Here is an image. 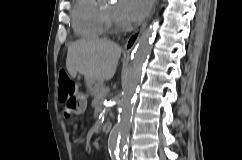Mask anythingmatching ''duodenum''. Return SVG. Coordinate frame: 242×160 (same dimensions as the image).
<instances>
[{"label": "duodenum", "mask_w": 242, "mask_h": 160, "mask_svg": "<svg viewBox=\"0 0 242 160\" xmlns=\"http://www.w3.org/2000/svg\"><path fill=\"white\" fill-rule=\"evenodd\" d=\"M111 128H112V123L110 121H107L102 126V132L104 134H107L110 132Z\"/></svg>", "instance_id": "obj_1"}]
</instances>
